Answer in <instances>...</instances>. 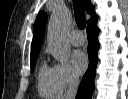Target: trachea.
Returning a JSON list of instances; mask_svg holds the SVG:
<instances>
[{
  "label": "trachea",
  "mask_w": 128,
  "mask_h": 99,
  "mask_svg": "<svg viewBox=\"0 0 128 99\" xmlns=\"http://www.w3.org/2000/svg\"><path fill=\"white\" fill-rule=\"evenodd\" d=\"M73 7L75 13V20L80 29L86 26L85 10L81 0H73Z\"/></svg>",
  "instance_id": "trachea-1"
}]
</instances>
